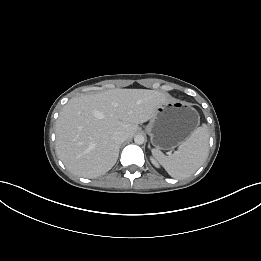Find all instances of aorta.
Segmentation results:
<instances>
[{
    "instance_id": "1",
    "label": "aorta",
    "mask_w": 261,
    "mask_h": 261,
    "mask_svg": "<svg viewBox=\"0 0 261 261\" xmlns=\"http://www.w3.org/2000/svg\"><path fill=\"white\" fill-rule=\"evenodd\" d=\"M134 141L136 144L141 145L145 142V137L143 135H136Z\"/></svg>"
}]
</instances>
